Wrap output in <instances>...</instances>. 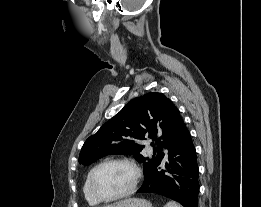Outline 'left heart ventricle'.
Listing matches in <instances>:
<instances>
[{
	"label": "left heart ventricle",
	"mask_w": 261,
	"mask_h": 207,
	"mask_svg": "<svg viewBox=\"0 0 261 207\" xmlns=\"http://www.w3.org/2000/svg\"><path fill=\"white\" fill-rule=\"evenodd\" d=\"M134 178L133 170L123 164H110L101 168L95 179L98 193L103 197H112L127 190Z\"/></svg>",
	"instance_id": "b2bd125f"
}]
</instances>
